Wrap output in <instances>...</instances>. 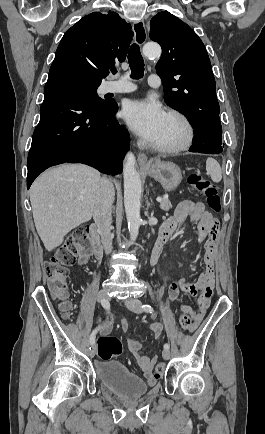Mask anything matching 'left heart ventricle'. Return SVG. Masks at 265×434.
<instances>
[{"instance_id":"b2bd125f","label":"left heart ventricle","mask_w":265,"mask_h":434,"mask_svg":"<svg viewBox=\"0 0 265 434\" xmlns=\"http://www.w3.org/2000/svg\"><path fill=\"white\" fill-rule=\"evenodd\" d=\"M182 127L178 121L166 117L165 124L157 138L153 143L159 147H170L177 144L182 138Z\"/></svg>"}]
</instances>
